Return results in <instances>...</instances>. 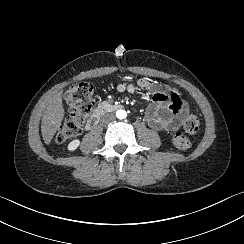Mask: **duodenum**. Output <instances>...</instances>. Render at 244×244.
<instances>
[{
	"instance_id": "410a0bca",
	"label": "duodenum",
	"mask_w": 244,
	"mask_h": 244,
	"mask_svg": "<svg viewBox=\"0 0 244 244\" xmlns=\"http://www.w3.org/2000/svg\"><path fill=\"white\" fill-rule=\"evenodd\" d=\"M121 108H122V105L118 104V103H107V104L100 103L99 108L95 112V116L91 119L90 128H93L95 126L97 118H99L103 114L104 111L119 110Z\"/></svg>"
}]
</instances>
